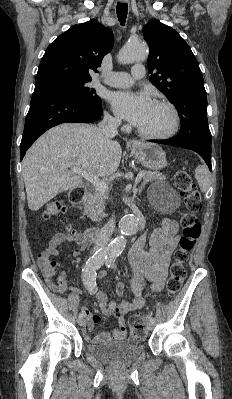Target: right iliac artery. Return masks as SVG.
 Masks as SVG:
<instances>
[{"mask_svg": "<svg viewBox=\"0 0 232 399\" xmlns=\"http://www.w3.org/2000/svg\"><path fill=\"white\" fill-rule=\"evenodd\" d=\"M105 259V255H92L82 267V281L91 295L96 294L98 291L96 271L104 264ZM79 317L83 318V314H80Z\"/></svg>", "mask_w": 232, "mask_h": 399, "instance_id": "right-iliac-artery-1", "label": "right iliac artery"}]
</instances>
